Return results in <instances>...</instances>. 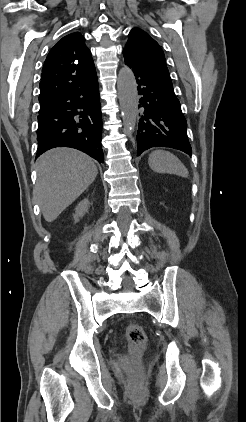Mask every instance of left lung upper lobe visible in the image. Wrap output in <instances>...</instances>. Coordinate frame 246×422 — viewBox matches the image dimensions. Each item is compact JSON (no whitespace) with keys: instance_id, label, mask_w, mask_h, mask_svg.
<instances>
[{"instance_id":"5c2ea615","label":"left lung upper lobe","mask_w":246,"mask_h":422,"mask_svg":"<svg viewBox=\"0 0 246 422\" xmlns=\"http://www.w3.org/2000/svg\"><path fill=\"white\" fill-rule=\"evenodd\" d=\"M123 54L124 57L131 59L165 84L173 87L162 49L143 30L133 28L130 31Z\"/></svg>"}]
</instances>
